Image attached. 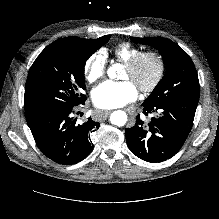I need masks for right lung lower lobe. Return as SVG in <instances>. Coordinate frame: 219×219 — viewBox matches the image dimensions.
<instances>
[{"mask_svg": "<svg viewBox=\"0 0 219 219\" xmlns=\"http://www.w3.org/2000/svg\"><path fill=\"white\" fill-rule=\"evenodd\" d=\"M74 112L75 107L49 109L27 118L39 149L60 164L71 165L86 158L94 147L90 134L100 126L91 118L77 122Z\"/></svg>", "mask_w": 219, "mask_h": 219, "instance_id": "1", "label": "right lung lower lobe"}]
</instances>
